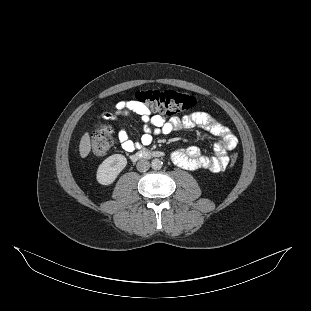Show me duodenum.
I'll return each instance as SVG.
<instances>
[{
    "label": "duodenum",
    "instance_id": "1",
    "mask_svg": "<svg viewBox=\"0 0 311 311\" xmlns=\"http://www.w3.org/2000/svg\"><path fill=\"white\" fill-rule=\"evenodd\" d=\"M162 152L160 151H150L147 149L140 150L132 155L133 160L147 159L151 157H160Z\"/></svg>",
    "mask_w": 311,
    "mask_h": 311
}]
</instances>
